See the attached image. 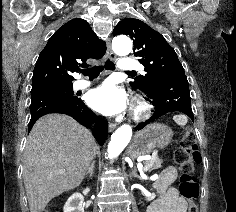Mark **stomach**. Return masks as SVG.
Wrapping results in <instances>:
<instances>
[{"mask_svg": "<svg viewBox=\"0 0 236 212\" xmlns=\"http://www.w3.org/2000/svg\"><path fill=\"white\" fill-rule=\"evenodd\" d=\"M173 137V131L165 124L154 123L137 132L129 146L128 153L132 158L147 155L154 148H165Z\"/></svg>", "mask_w": 236, "mask_h": 212, "instance_id": "obj_1", "label": "stomach"}]
</instances>
